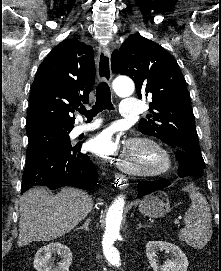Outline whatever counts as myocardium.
<instances>
[{"instance_id":"myocardium-1","label":"myocardium","mask_w":221,"mask_h":271,"mask_svg":"<svg viewBox=\"0 0 221 271\" xmlns=\"http://www.w3.org/2000/svg\"><path fill=\"white\" fill-rule=\"evenodd\" d=\"M149 142H143V141ZM151 140H157L150 136L141 137L140 133H133L132 140H128L127 144L131 145L130 150H136V155H143L144 165L141 164L139 158H114V163H119L117 169L120 172H127L129 175H162L170 172V158L165 155L169 150H160V145H156V142ZM137 164V165H135ZM132 165V166H131ZM149 166V167H148ZM141 170H138V169Z\"/></svg>"}]
</instances>
